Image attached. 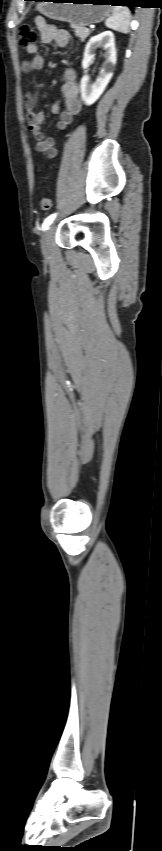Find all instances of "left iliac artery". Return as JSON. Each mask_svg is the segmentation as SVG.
<instances>
[{
    "mask_svg": "<svg viewBox=\"0 0 162 851\" xmlns=\"http://www.w3.org/2000/svg\"><path fill=\"white\" fill-rule=\"evenodd\" d=\"M55 217H56V213H55V214L50 215L49 217H47V218L45 219V221L43 222V225H42L43 230H46V229L49 227V225L53 222V220L55 219Z\"/></svg>",
    "mask_w": 162,
    "mask_h": 851,
    "instance_id": "1",
    "label": "left iliac artery"
}]
</instances>
